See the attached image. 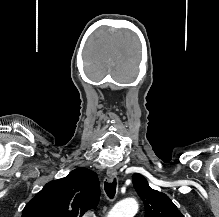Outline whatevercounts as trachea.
Wrapping results in <instances>:
<instances>
[{
    "label": "trachea",
    "instance_id": "obj_1",
    "mask_svg": "<svg viewBox=\"0 0 219 217\" xmlns=\"http://www.w3.org/2000/svg\"><path fill=\"white\" fill-rule=\"evenodd\" d=\"M104 189L109 198H114L116 193V179L111 182H105Z\"/></svg>",
    "mask_w": 219,
    "mask_h": 217
}]
</instances>
